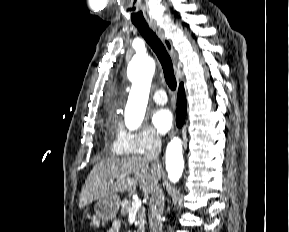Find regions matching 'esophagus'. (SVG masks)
Returning a JSON list of instances; mask_svg holds the SVG:
<instances>
[{"label": "esophagus", "mask_w": 289, "mask_h": 232, "mask_svg": "<svg viewBox=\"0 0 289 232\" xmlns=\"http://www.w3.org/2000/svg\"><path fill=\"white\" fill-rule=\"evenodd\" d=\"M150 28L157 34V36L160 38L164 46L166 47L169 54L174 57V50L171 44V41L165 36L163 30L156 25L155 23H150Z\"/></svg>", "instance_id": "esophagus-1"}]
</instances>
